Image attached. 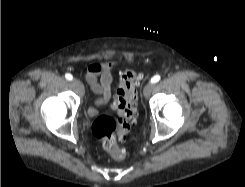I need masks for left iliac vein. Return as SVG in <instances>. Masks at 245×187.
Here are the masks:
<instances>
[{
	"label": "left iliac vein",
	"mask_w": 245,
	"mask_h": 187,
	"mask_svg": "<svg viewBox=\"0 0 245 187\" xmlns=\"http://www.w3.org/2000/svg\"><path fill=\"white\" fill-rule=\"evenodd\" d=\"M153 88V84L152 83H148L145 85L144 89H143V94L145 97H148L152 91Z\"/></svg>",
	"instance_id": "obj_1"
}]
</instances>
